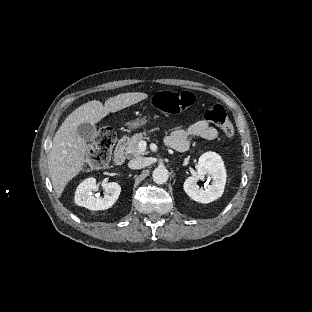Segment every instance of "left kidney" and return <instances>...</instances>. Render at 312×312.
Instances as JSON below:
<instances>
[{
	"mask_svg": "<svg viewBox=\"0 0 312 312\" xmlns=\"http://www.w3.org/2000/svg\"><path fill=\"white\" fill-rule=\"evenodd\" d=\"M208 175L211 184H205L204 189L197 185ZM207 180V182H208ZM226 184V170L221 156L215 152H206L199 158L197 175L188 177L184 182V191L195 201L210 203L222 196Z\"/></svg>",
	"mask_w": 312,
	"mask_h": 312,
	"instance_id": "1",
	"label": "left kidney"
}]
</instances>
